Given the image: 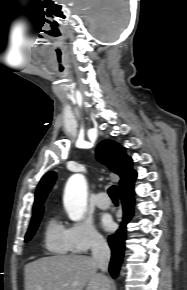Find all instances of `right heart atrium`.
Returning a JSON list of instances; mask_svg holds the SVG:
<instances>
[{"instance_id": "d8ad5b80", "label": "right heart atrium", "mask_w": 187, "mask_h": 290, "mask_svg": "<svg viewBox=\"0 0 187 290\" xmlns=\"http://www.w3.org/2000/svg\"><path fill=\"white\" fill-rule=\"evenodd\" d=\"M70 249L74 253H86L104 244V238L89 220L71 223L67 228Z\"/></svg>"}]
</instances>
